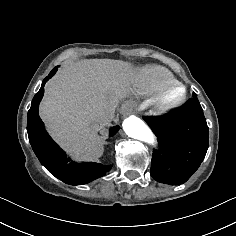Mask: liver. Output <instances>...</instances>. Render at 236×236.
I'll use <instances>...</instances> for the list:
<instances>
[{
    "instance_id": "1",
    "label": "liver",
    "mask_w": 236,
    "mask_h": 236,
    "mask_svg": "<svg viewBox=\"0 0 236 236\" xmlns=\"http://www.w3.org/2000/svg\"><path fill=\"white\" fill-rule=\"evenodd\" d=\"M117 62L87 60L65 66L47 83L40 107L42 120L64 148L84 159L101 155L97 135L104 111L114 112L120 97Z\"/></svg>"
}]
</instances>
